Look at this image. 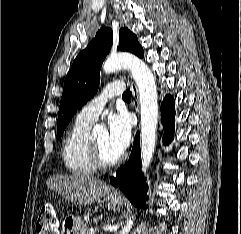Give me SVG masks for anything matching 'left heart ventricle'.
<instances>
[{"instance_id": "obj_1", "label": "left heart ventricle", "mask_w": 241, "mask_h": 234, "mask_svg": "<svg viewBox=\"0 0 241 234\" xmlns=\"http://www.w3.org/2000/svg\"><path fill=\"white\" fill-rule=\"evenodd\" d=\"M93 138L99 144L102 155L106 160L112 161L120 155L112 148L109 142L108 133L106 131L99 132L98 134L93 136Z\"/></svg>"}]
</instances>
